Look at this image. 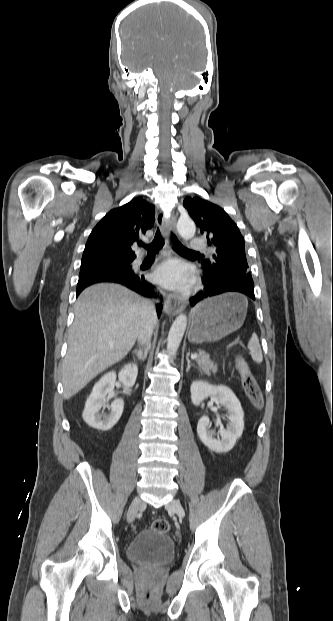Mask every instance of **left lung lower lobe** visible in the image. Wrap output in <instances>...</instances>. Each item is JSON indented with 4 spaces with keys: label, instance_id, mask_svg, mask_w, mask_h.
<instances>
[{
    "label": "left lung lower lobe",
    "instance_id": "1",
    "mask_svg": "<svg viewBox=\"0 0 333 621\" xmlns=\"http://www.w3.org/2000/svg\"><path fill=\"white\" fill-rule=\"evenodd\" d=\"M202 281L204 289L190 298L192 306L224 292H240L255 300L254 283L250 275L229 274L216 278L211 272L203 271Z\"/></svg>",
    "mask_w": 333,
    "mask_h": 621
}]
</instances>
